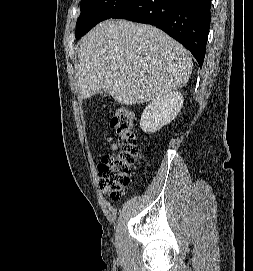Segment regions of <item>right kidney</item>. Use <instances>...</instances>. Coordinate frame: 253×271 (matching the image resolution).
Instances as JSON below:
<instances>
[{
  "mask_svg": "<svg viewBox=\"0 0 253 271\" xmlns=\"http://www.w3.org/2000/svg\"><path fill=\"white\" fill-rule=\"evenodd\" d=\"M183 95L170 91L152 100L144 109L140 127L144 132L154 133L169 124L183 106Z\"/></svg>",
  "mask_w": 253,
  "mask_h": 271,
  "instance_id": "obj_1",
  "label": "right kidney"
}]
</instances>
